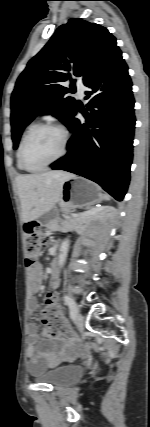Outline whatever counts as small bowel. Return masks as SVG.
I'll use <instances>...</instances> for the list:
<instances>
[{"instance_id":"obj_1","label":"small bowel","mask_w":150,"mask_h":427,"mask_svg":"<svg viewBox=\"0 0 150 427\" xmlns=\"http://www.w3.org/2000/svg\"><path fill=\"white\" fill-rule=\"evenodd\" d=\"M29 280L34 292H39L43 289V270L40 264H35L29 270ZM51 288L56 290L59 286V279L56 274L52 275ZM36 307V303H32V309ZM58 342L53 340L51 336L44 331V337L40 338L37 325L30 322L27 325V350L26 354L29 358V371L31 374L37 375L42 373L47 368H52L61 362L70 360L74 353L79 349L75 337L58 338Z\"/></svg>"}]
</instances>
